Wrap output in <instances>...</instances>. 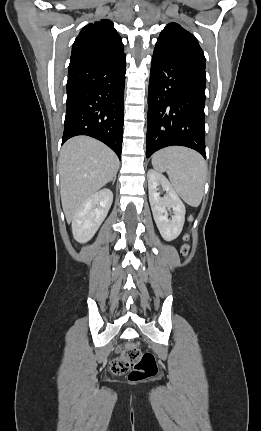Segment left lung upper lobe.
Listing matches in <instances>:
<instances>
[{
    "instance_id": "5c2ea615",
    "label": "left lung upper lobe",
    "mask_w": 261,
    "mask_h": 431,
    "mask_svg": "<svg viewBox=\"0 0 261 431\" xmlns=\"http://www.w3.org/2000/svg\"><path fill=\"white\" fill-rule=\"evenodd\" d=\"M154 50L188 60L205 68L204 53L197 39L177 23H170L163 29Z\"/></svg>"
}]
</instances>
